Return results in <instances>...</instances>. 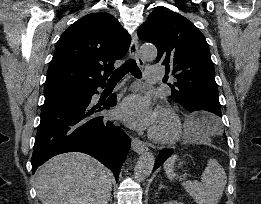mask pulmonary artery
<instances>
[{"mask_svg": "<svg viewBox=\"0 0 261 204\" xmlns=\"http://www.w3.org/2000/svg\"><path fill=\"white\" fill-rule=\"evenodd\" d=\"M163 72L158 66L148 67L145 71V80L149 83H155L162 78Z\"/></svg>", "mask_w": 261, "mask_h": 204, "instance_id": "e3ab8cb5", "label": "pulmonary artery"}]
</instances>
